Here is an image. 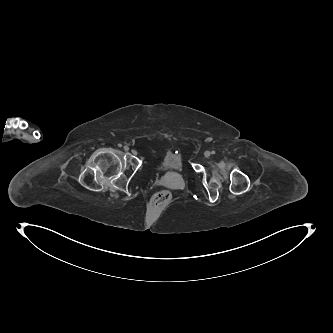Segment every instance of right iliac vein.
Returning <instances> with one entry per match:
<instances>
[{"instance_id":"63e3f726","label":"right iliac vein","mask_w":333,"mask_h":333,"mask_svg":"<svg viewBox=\"0 0 333 333\" xmlns=\"http://www.w3.org/2000/svg\"><path fill=\"white\" fill-rule=\"evenodd\" d=\"M125 151H128V150H125ZM132 153L133 154H137V151L136 150H132Z\"/></svg>"}]
</instances>
